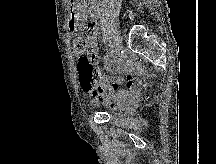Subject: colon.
I'll use <instances>...</instances> for the list:
<instances>
[{
  "label": "colon",
  "instance_id": "1",
  "mask_svg": "<svg viewBox=\"0 0 216 164\" xmlns=\"http://www.w3.org/2000/svg\"><path fill=\"white\" fill-rule=\"evenodd\" d=\"M74 48L79 53L83 52V42L79 39L75 40ZM77 67L80 85L83 90L91 92L100 86L103 75L94 65L92 58L85 55L81 56L78 59Z\"/></svg>",
  "mask_w": 216,
  "mask_h": 164
}]
</instances>
